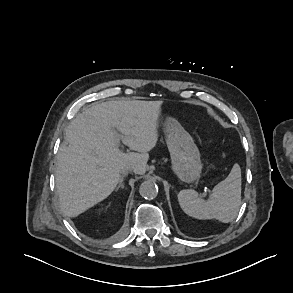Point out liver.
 <instances>
[{"mask_svg": "<svg viewBox=\"0 0 293 293\" xmlns=\"http://www.w3.org/2000/svg\"><path fill=\"white\" fill-rule=\"evenodd\" d=\"M162 101H107L84 109L65 129L67 146L57 154L56 188L61 211L76 217L106 199L121 171L144 174L158 140ZM120 140L136 152L124 153ZM118 134V133H117Z\"/></svg>", "mask_w": 293, "mask_h": 293, "instance_id": "1", "label": "liver"}]
</instances>
